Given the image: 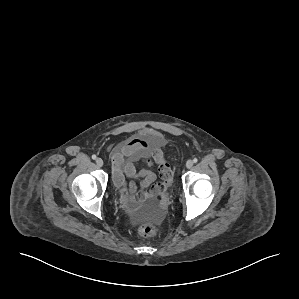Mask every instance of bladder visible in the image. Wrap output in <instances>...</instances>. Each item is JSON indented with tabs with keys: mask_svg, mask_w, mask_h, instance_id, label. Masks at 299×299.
Instances as JSON below:
<instances>
[{
	"mask_svg": "<svg viewBox=\"0 0 299 299\" xmlns=\"http://www.w3.org/2000/svg\"><path fill=\"white\" fill-rule=\"evenodd\" d=\"M159 140H160V138H159V136L157 135L156 137H154V138L151 139V142H152V143H157V142H159Z\"/></svg>",
	"mask_w": 299,
	"mask_h": 299,
	"instance_id": "1",
	"label": "bladder"
}]
</instances>
